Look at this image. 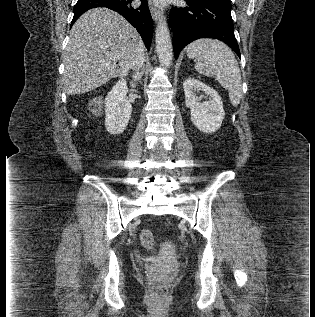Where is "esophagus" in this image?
<instances>
[{
  "label": "esophagus",
  "instance_id": "1",
  "mask_svg": "<svg viewBox=\"0 0 315 317\" xmlns=\"http://www.w3.org/2000/svg\"><path fill=\"white\" fill-rule=\"evenodd\" d=\"M149 9H150V13L152 15V18L157 21L160 16H161V12L160 10L154 5L153 2H151L150 0V3H149Z\"/></svg>",
  "mask_w": 315,
  "mask_h": 317
}]
</instances>
